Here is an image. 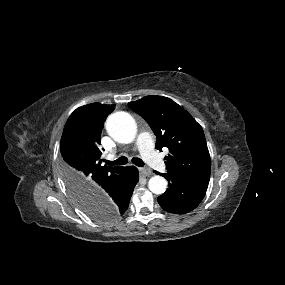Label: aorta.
Here are the masks:
<instances>
[{
    "label": "aorta",
    "mask_w": 285,
    "mask_h": 285,
    "mask_svg": "<svg viewBox=\"0 0 285 285\" xmlns=\"http://www.w3.org/2000/svg\"><path fill=\"white\" fill-rule=\"evenodd\" d=\"M106 130L115 141L128 144L135 139L137 126L130 114L119 111L108 117ZM148 188L152 193L161 195L166 191L167 181L161 176H153L148 182Z\"/></svg>",
    "instance_id": "obj_1"
}]
</instances>
